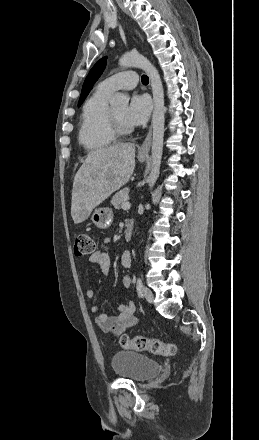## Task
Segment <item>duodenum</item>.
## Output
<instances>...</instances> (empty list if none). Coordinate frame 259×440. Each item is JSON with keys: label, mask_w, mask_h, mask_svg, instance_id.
<instances>
[{"label": "duodenum", "mask_w": 259, "mask_h": 440, "mask_svg": "<svg viewBox=\"0 0 259 440\" xmlns=\"http://www.w3.org/2000/svg\"><path fill=\"white\" fill-rule=\"evenodd\" d=\"M133 230H134V223H133V221H128L126 223V227H125V239L127 241H130L132 239Z\"/></svg>", "instance_id": "1"}]
</instances>
